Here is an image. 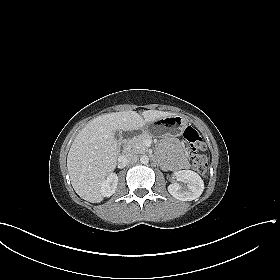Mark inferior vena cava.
<instances>
[{"label":"inferior vena cava","instance_id":"obj_1","mask_svg":"<svg viewBox=\"0 0 280 280\" xmlns=\"http://www.w3.org/2000/svg\"><path fill=\"white\" fill-rule=\"evenodd\" d=\"M139 160L138 155L134 154V153H126L125 155H123V162L125 164H133L136 163Z\"/></svg>","mask_w":280,"mask_h":280}]
</instances>
